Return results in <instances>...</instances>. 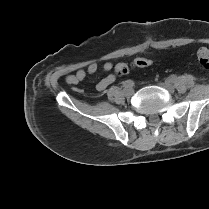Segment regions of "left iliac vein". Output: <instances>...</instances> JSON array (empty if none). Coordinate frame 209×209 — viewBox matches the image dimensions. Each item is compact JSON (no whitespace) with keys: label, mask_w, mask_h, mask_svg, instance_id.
<instances>
[{"label":"left iliac vein","mask_w":209,"mask_h":209,"mask_svg":"<svg viewBox=\"0 0 209 209\" xmlns=\"http://www.w3.org/2000/svg\"><path fill=\"white\" fill-rule=\"evenodd\" d=\"M164 86H165L168 90H170V91L173 90V86H172L171 84H169L168 82H166V83L164 84Z\"/></svg>","instance_id":"left-iliac-vein-1"}]
</instances>
